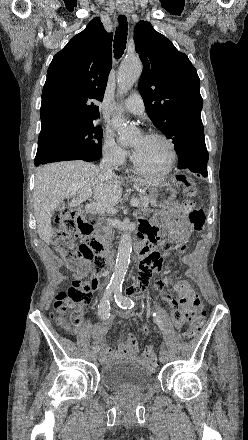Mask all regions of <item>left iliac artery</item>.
I'll list each match as a JSON object with an SVG mask.
<instances>
[{
	"label": "left iliac artery",
	"instance_id": "1",
	"mask_svg": "<svg viewBox=\"0 0 248 440\" xmlns=\"http://www.w3.org/2000/svg\"><path fill=\"white\" fill-rule=\"evenodd\" d=\"M114 298L117 305L122 309H131L134 307V301L122 294V288L117 287L114 291Z\"/></svg>",
	"mask_w": 248,
	"mask_h": 440
}]
</instances>
